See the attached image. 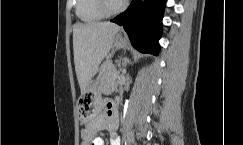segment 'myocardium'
<instances>
[{"instance_id": "1", "label": "myocardium", "mask_w": 243, "mask_h": 145, "mask_svg": "<svg viewBox=\"0 0 243 145\" xmlns=\"http://www.w3.org/2000/svg\"><path fill=\"white\" fill-rule=\"evenodd\" d=\"M98 9L105 16H110L121 12L127 5V0H123L121 4L117 7H111L109 0H96Z\"/></svg>"}]
</instances>
